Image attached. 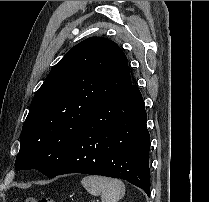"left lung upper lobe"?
<instances>
[{
    "mask_svg": "<svg viewBox=\"0 0 209 202\" xmlns=\"http://www.w3.org/2000/svg\"><path fill=\"white\" fill-rule=\"evenodd\" d=\"M129 86L128 60L115 42L90 37L71 48L32 99L15 168H35L51 178L85 120Z\"/></svg>",
    "mask_w": 209,
    "mask_h": 202,
    "instance_id": "obj_1",
    "label": "left lung upper lobe"
}]
</instances>
